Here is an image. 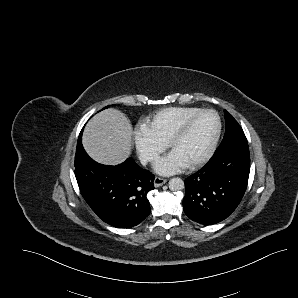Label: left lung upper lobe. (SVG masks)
Returning <instances> with one entry per match:
<instances>
[{
  "instance_id": "5c2ea615",
  "label": "left lung upper lobe",
  "mask_w": 298,
  "mask_h": 298,
  "mask_svg": "<svg viewBox=\"0 0 298 298\" xmlns=\"http://www.w3.org/2000/svg\"><path fill=\"white\" fill-rule=\"evenodd\" d=\"M224 114H225V121H226V129H225L224 138L220 146L231 141L234 138L245 136L242 128L240 127L238 122L233 118V116L229 114L226 110H224Z\"/></svg>"
}]
</instances>
